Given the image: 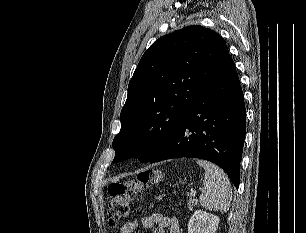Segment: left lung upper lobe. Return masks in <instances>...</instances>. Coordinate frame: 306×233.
<instances>
[{
  "label": "left lung upper lobe",
  "instance_id": "left-lung-upper-lobe-1",
  "mask_svg": "<svg viewBox=\"0 0 306 233\" xmlns=\"http://www.w3.org/2000/svg\"><path fill=\"white\" fill-rule=\"evenodd\" d=\"M229 56L216 32L187 26L156 40L128 85L113 162L138 156L149 162L216 76Z\"/></svg>",
  "mask_w": 306,
  "mask_h": 233
}]
</instances>
